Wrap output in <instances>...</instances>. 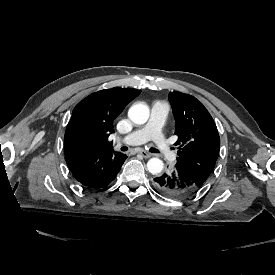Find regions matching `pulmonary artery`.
I'll return each instance as SVG.
<instances>
[{
    "label": "pulmonary artery",
    "instance_id": "1",
    "mask_svg": "<svg viewBox=\"0 0 275 275\" xmlns=\"http://www.w3.org/2000/svg\"><path fill=\"white\" fill-rule=\"evenodd\" d=\"M165 111L162 106L157 105L151 111V120L144 126L136 127L130 134L117 141L118 144L137 145L141 144L147 139L154 143V146L163 153L167 160L176 163L178 158L173 149L167 144V139L160 131L161 126L164 124Z\"/></svg>",
    "mask_w": 275,
    "mask_h": 275
}]
</instances>
